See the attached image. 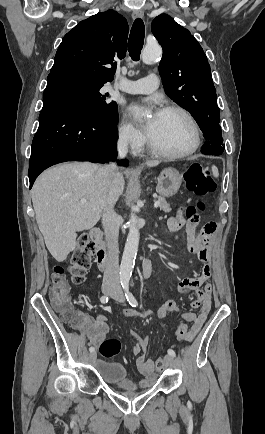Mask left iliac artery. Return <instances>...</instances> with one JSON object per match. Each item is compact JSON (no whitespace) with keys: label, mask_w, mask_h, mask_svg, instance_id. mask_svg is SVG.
Here are the masks:
<instances>
[{"label":"left iliac artery","mask_w":265,"mask_h":434,"mask_svg":"<svg viewBox=\"0 0 265 434\" xmlns=\"http://www.w3.org/2000/svg\"><path fill=\"white\" fill-rule=\"evenodd\" d=\"M122 287L125 291V296L127 298V301L129 302V304L132 307H136L138 305V302H137L136 298L133 296V294L129 291V283L128 282L122 283ZM168 354L171 355L172 357L176 356V353L173 349H168Z\"/></svg>","instance_id":"1"}]
</instances>
